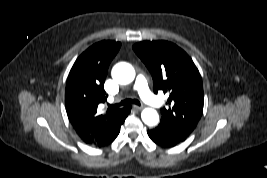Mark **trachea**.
Returning <instances> with one entry per match:
<instances>
[{
	"mask_svg": "<svg viewBox=\"0 0 267 178\" xmlns=\"http://www.w3.org/2000/svg\"><path fill=\"white\" fill-rule=\"evenodd\" d=\"M129 103L140 105V102L138 100H136V99H125V100L121 101L120 103L115 104L113 106L114 107H119V106H123V105L129 104Z\"/></svg>",
	"mask_w": 267,
	"mask_h": 178,
	"instance_id": "3493384b",
	"label": "trachea"
}]
</instances>
